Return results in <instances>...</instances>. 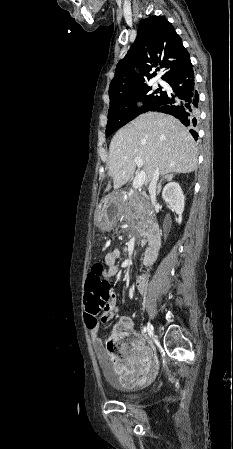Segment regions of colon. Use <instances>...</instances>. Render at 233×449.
<instances>
[{
  "label": "colon",
  "instance_id": "obj_1",
  "mask_svg": "<svg viewBox=\"0 0 233 449\" xmlns=\"http://www.w3.org/2000/svg\"><path fill=\"white\" fill-rule=\"evenodd\" d=\"M104 267L97 263L93 265L91 270L86 275L85 280V308L84 311L85 322L89 328H96L100 322L101 315L106 313L103 309L105 302H110L111 298L106 297V290L110 285L103 278ZM111 303V302H110ZM134 344L133 332L128 323H123L116 327L110 343L108 344V351L115 354L116 350L126 349Z\"/></svg>",
  "mask_w": 233,
  "mask_h": 449
}]
</instances>
